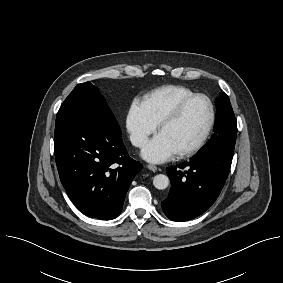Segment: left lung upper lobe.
<instances>
[{
    "label": "left lung upper lobe",
    "instance_id": "left-lung-upper-lobe-1",
    "mask_svg": "<svg viewBox=\"0 0 283 283\" xmlns=\"http://www.w3.org/2000/svg\"><path fill=\"white\" fill-rule=\"evenodd\" d=\"M215 104L216 121L214 125V134L202 149H219L233 155L237 124L230 100L225 93L221 92L216 99Z\"/></svg>",
    "mask_w": 283,
    "mask_h": 283
}]
</instances>
